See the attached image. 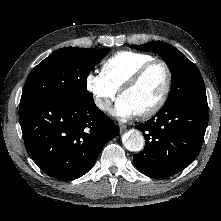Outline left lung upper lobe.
<instances>
[{
	"label": "left lung upper lobe",
	"instance_id": "5c2ea615",
	"mask_svg": "<svg viewBox=\"0 0 221 221\" xmlns=\"http://www.w3.org/2000/svg\"><path fill=\"white\" fill-rule=\"evenodd\" d=\"M130 47L153 51L163 57L172 74L171 90L166 102L206 98L205 85L199 70L175 47L162 41H153Z\"/></svg>",
	"mask_w": 221,
	"mask_h": 221
}]
</instances>
